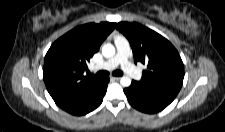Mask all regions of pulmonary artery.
Listing matches in <instances>:
<instances>
[{
  "instance_id": "pulmonary-artery-1",
  "label": "pulmonary artery",
  "mask_w": 225,
  "mask_h": 132,
  "mask_svg": "<svg viewBox=\"0 0 225 132\" xmlns=\"http://www.w3.org/2000/svg\"><path fill=\"white\" fill-rule=\"evenodd\" d=\"M115 46L117 49L116 55L97 66V69L110 70L120 65L129 75L135 78H139V73L128 61L130 55V44L128 40L123 36H117L115 38Z\"/></svg>"
}]
</instances>
